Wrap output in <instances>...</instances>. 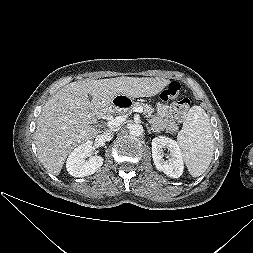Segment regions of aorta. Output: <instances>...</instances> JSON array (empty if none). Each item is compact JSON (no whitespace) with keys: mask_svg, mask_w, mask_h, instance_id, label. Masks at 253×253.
<instances>
[{"mask_svg":"<svg viewBox=\"0 0 253 253\" xmlns=\"http://www.w3.org/2000/svg\"><path fill=\"white\" fill-rule=\"evenodd\" d=\"M129 134L133 137H139L143 134V127L141 124L133 123L128 126Z\"/></svg>","mask_w":253,"mask_h":253,"instance_id":"obj_1","label":"aorta"}]
</instances>
